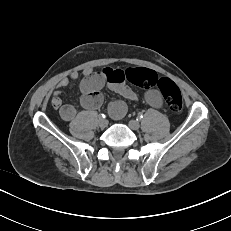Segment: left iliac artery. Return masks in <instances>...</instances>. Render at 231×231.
<instances>
[{
    "instance_id": "1",
    "label": "left iliac artery",
    "mask_w": 231,
    "mask_h": 231,
    "mask_svg": "<svg viewBox=\"0 0 231 231\" xmlns=\"http://www.w3.org/2000/svg\"><path fill=\"white\" fill-rule=\"evenodd\" d=\"M143 118V114L142 113H139L138 114V119H142Z\"/></svg>"
}]
</instances>
